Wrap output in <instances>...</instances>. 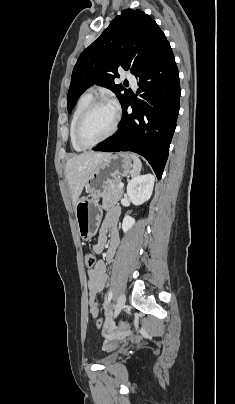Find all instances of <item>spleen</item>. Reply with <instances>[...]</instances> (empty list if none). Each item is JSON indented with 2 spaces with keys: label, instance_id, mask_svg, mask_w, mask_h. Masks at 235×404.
Segmentation results:
<instances>
[{
  "label": "spleen",
  "instance_id": "3e777b00",
  "mask_svg": "<svg viewBox=\"0 0 235 404\" xmlns=\"http://www.w3.org/2000/svg\"><path fill=\"white\" fill-rule=\"evenodd\" d=\"M130 156L134 162V166L131 171V176L135 177V176L139 175L141 168H142V163L136 154L131 153Z\"/></svg>",
  "mask_w": 235,
  "mask_h": 404
}]
</instances>
